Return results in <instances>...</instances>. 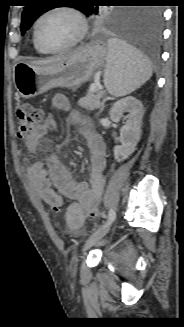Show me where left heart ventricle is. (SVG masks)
Listing matches in <instances>:
<instances>
[{
  "label": "left heart ventricle",
  "instance_id": "b2bd125f",
  "mask_svg": "<svg viewBox=\"0 0 184 327\" xmlns=\"http://www.w3.org/2000/svg\"><path fill=\"white\" fill-rule=\"evenodd\" d=\"M78 32L77 21L66 12L51 13L38 26L39 41L49 48L60 47L71 42Z\"/></svg>",
  "mask_w": 184,
  "mask_h": 327
}]
</instances>
